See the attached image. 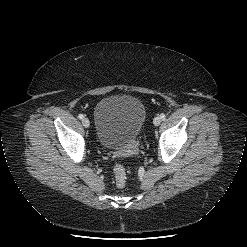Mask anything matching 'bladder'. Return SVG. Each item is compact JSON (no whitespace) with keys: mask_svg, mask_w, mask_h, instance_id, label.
I'll return each instance as SVG.
<instances>
[{"mask_svg":"<svg viewBox=\"0 0 247 247\" xmlns=\"http://www.w3.org/2000/svg\"><path fill=\"white\" fill-rule=\"evenodd\" d=\"M98 144L120 154H131L146 119L142 101L131 95H112L101 99L94 110Z\"/></svg>","mask_w":247,"mask_h":247,"instance_id":"31cf9c89","label":"bladder"}]
</instances>
